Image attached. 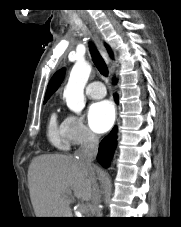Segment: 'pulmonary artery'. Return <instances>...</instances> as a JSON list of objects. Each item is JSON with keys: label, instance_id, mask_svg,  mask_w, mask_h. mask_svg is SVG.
I'll list each match as a JSON object with an SVG mask.
<instances>
[{"label": "pulmonary artery", "instance_id": "obj_1", "mask_svg": "<svg viewBox=\"0 0 181 227\" xmlns=\"http://www.w3.org/2000/svg\"><path fill=\"white\" fill-rule=\"evenodd\" d=\"M86 95L92 99H100L106 95V89L102 82L93 81L86 87Z\"/></svg>", "mask_w": 181, "mask_h": 227}]
</instances>
